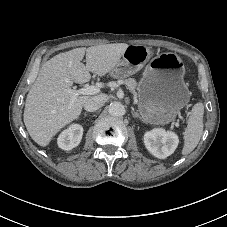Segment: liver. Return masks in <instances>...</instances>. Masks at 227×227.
<instances>
[{
	"label": "liver",
	"mask_w": 227,
	"mask_h": 227,
	"mask_svg": "<svg viewBox=\"0 0 227 227\" xmlns=\"http://www.w3.org/2000/svg\"><path fill=\"white\" fill-rule=\"evenodd\" d=\"M126 43L75 48L48 60L28 92L23 114L31 138L47 146L53 136L77 119L84 103L90 98L79 95L70 104L72 95L66 90L73 83L83 84L91 79L90 72L104 76L121 60L128 48ZM86 55V65L81 61ZM102 93L97 94V96Z\"/></svg>",
	"instance_id": "6515ba94"
}]
</instances>
